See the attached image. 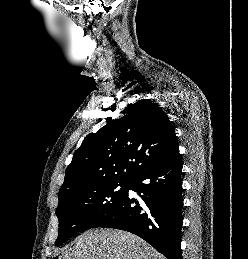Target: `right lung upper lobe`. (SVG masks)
<instances>
[{
  "label": "right lung upper lobe",
  "instance_id": "cb5924a9",
  "mask_svg": "<svg viewBox=\"0 0 248 259\" xmlns=\"http://www.w3.org/2000/svg\"><path fill=\"white\" fill-rule=\"evenodd\" d=\"M97 133L86 136L65 171L59 190L113 180L130 181L140 172L179 156L174 127L156 103L140 100Z\"/></svg>",
  "mask_w": 248,
  "mask_h": 259
}]
</instances>
